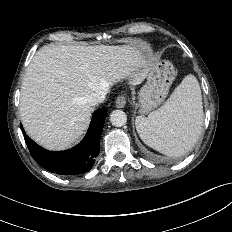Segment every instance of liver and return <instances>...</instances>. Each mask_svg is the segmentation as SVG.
Here are the masks:
<instances>
[{"instance_id":"liver-1","label":"liver","mask_w":232,"mask_h":232,"mask_svg":"<svg viewBox=\"0 0 232 232\" xmlns=\"http://www.w3.org/2000/svg\"><path fill=\"white\" fill-rule=\"evenodd\" d=\"M144 52L131 45L43 46L21 87L20 116L27 134L50 150L74 144L90 121L87 97L125 78L140 84L152 65Z\"/></svg>"}]
</instances>
